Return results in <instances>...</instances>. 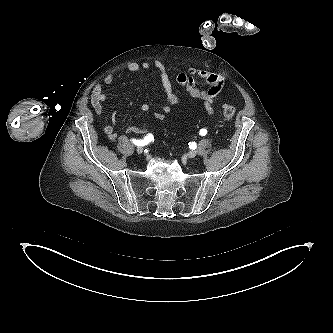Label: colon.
Masks as SVG:
<instances>
[{
    "label": "colon",
    "instance_id": "colon-1",
    "mask_svg": "<svg viewBox=\"0 0 333 333\" xmlns=\"http://www.w3.org/2000/svg\"><path fill=\"white\" fill-rule=\"evenodd\" d=\"M235 112H236V109L232 104L227 103L223 106V117H224V119H226V120L232 119L235 115Z\"/></svg>",
    "mask_w": 333,
    "mask_h": 333
}]
</instances>
